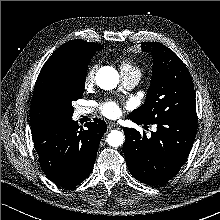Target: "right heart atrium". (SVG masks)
I'll return each mask as SVG.
<instances>
[{"mask_svg":"<svg viewBox=\"0 0 220 220\" xmlns=\"http://www.w3.org/2000/svg\"><path fill=\"white\" fill-rule=\"evenodd\" d=\"M97 64L92 65L86 72L84 77L85 86H89L94 82Z\"/></svg>","mask_w":220,"mask_h":220,"instance_id":"d8ad5b80","label":"right heart atrium"}]
</instances>
